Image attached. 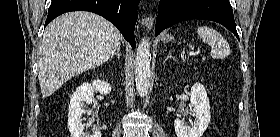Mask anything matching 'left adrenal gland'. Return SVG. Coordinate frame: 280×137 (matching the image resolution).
<instances>
[{"label": "left adrenal gland", "mask_w": 280, "mask_h": 137, "mask_svg": "<svg viewBox=\"0 0 280 137\" xmlns=\"http://www.w3.org/2000/svg\"><path fill=\"white\" fill-rule=\"evenodd\" d=\"M167 59H175V58H174V57L172 56V54L169 52V53L167 54V57H166L165 61H166Z\"/></svg>", "instance_id": "obj_1"}]
</instances>
